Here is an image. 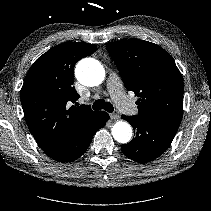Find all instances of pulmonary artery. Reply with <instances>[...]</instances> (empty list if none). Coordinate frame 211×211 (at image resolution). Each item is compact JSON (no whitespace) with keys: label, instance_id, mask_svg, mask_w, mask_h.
Here are the masks:
<instances>
[{"label":"pulmonary artery","instance_id":"obj_1","mask_svg":"<svg viewBox=\"0 0 211 211\" xmlns=\"http://www.w3.org/2000/svg\"><path fill=\"white\" fill-rule=\"evenodd\" d=\"M107 86L112 98L121 111L126 114H131L135 111V107L127 97L123 83L118 75H110Z\"/></svg>","mask_w":211,"mask_h":211}]
</instances>
